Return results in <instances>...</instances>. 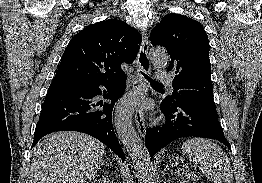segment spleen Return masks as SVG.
<instances>
[{
  "instance_id": "spleen-1",
  "label": "spleen",
  "mask_w": 262,
  "mask_h": 183,
  "mask_svg": "<svg viewBox=\"0 0 262 183\" xmlns=\"http://www.w3.org/2000/svg\"><path fill=\"white\" fill-rule=\"evenodd\" d=\"M182 149L208 179L214 183H233L229 159L217 144L203 138H192L183 143Z\"/></svg>"
}]
</instances>
